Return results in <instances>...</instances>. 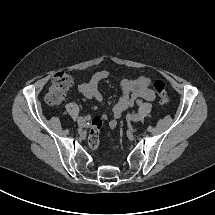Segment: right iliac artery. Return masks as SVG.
<instances>
[{
    "label": "right iliac artery",
    "mask_w": 215,
    "mask_h": 215,
    "mask_svg": "<svg viewBox=\"0 0 215 215\" xmlns=\"http://www.w3.org/2000/svg\"><path fill=\"white\" fill-rule=\"evenodd\" d=\"M86 120H89L90 119V116L88 115V116H85L84 117Z\"/></svg>",
    "instance_id": "right-iliac-artery-1"
}]
</instances>
